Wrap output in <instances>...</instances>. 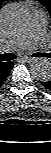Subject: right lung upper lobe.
Masks as SVG:
<instances>
[{
  "label": "right lung upper lobe",
  "instance_id": "cb5924a9",
  "mask_svg": "<svg viewBox=\"0 0 51 153\" xmlns=\"http://www.w3.org/2000/svg\"><path fill=\"white\" fill-rule=\"evenodd\" d=\"M4 2V0H0V7L2 5V3ZM5 62H0V66H2Z\"/></svg>",
  "mask_w": 51,
  "mask_h": 153
}]
</instances>
